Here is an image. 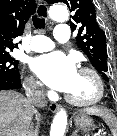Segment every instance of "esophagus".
<instances>
[{"label": "esophagus", "instance_id": "obj_1", "mask_svg": "<svg viewBox=\"0 0 117 136\" xmlns=\"http://www.w3.org/2000/svg\"><path fill=\"white\" fill-rule=\"evenodd\" d=\"M36 13L37 15L40 17V18H44L46 20L49 19V15H48V7L45 3H40L37 7V10H36ZM61 108V106L57 103H50L49 105V109L52 111V112H56L58 111L59 109Z\"/></svg>", "mask_w": 117, "mask_h": 136}]
</instances>
